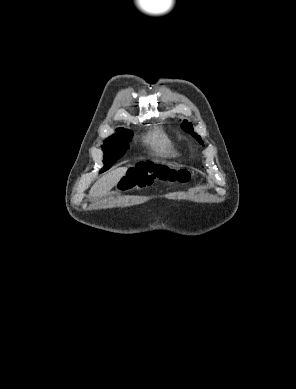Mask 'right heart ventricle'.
Here are the masks:
<instances>
[{
  "instance_id": "right-heart-ventricle-1",
  "label": "right heart ventricle",
  "mask_w": 296,
  "mask_h": 389,
  "mask_svg": "<svg viewBox=\"0 0 296 389\" xmlns=\"http://www.w3.org/2000/svg\"><path fill=\"white\" fill-rule=\"evenodd\" d=\"M150 148L163 157H176L178 151L172 139L160 128L150 130L145 136Z\"/></svg>"
}]
</instances>
